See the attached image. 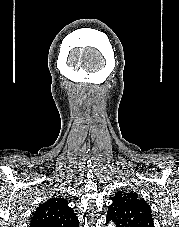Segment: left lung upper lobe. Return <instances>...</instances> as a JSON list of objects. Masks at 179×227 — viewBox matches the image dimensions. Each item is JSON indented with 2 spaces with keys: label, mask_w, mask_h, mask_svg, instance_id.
<instances>
[{
  "label": "left lung upper lobe",
  "mask_w": 179,
  "mask_h": 227,
  "mask_svg": "<svg viewBox=\"0 0 179 227\" xmlns=\"http://www.w3.org/2000/svg\"><path fill=\"white\" fill-rule=\"evenodd\" d=\"M106 221L115 222L117 227H154L151 209L137 193L119 191L108 207Z\"/></svg>",
  "instance_id": "obj_1"
}]
</instances>
